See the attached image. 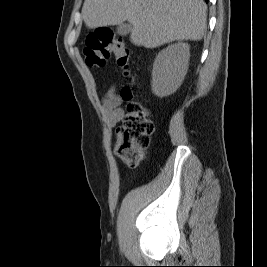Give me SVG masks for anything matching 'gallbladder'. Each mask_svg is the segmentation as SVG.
<instances>
[{"label": "gallbladder", "mask_w": 267, "mask_h": 267, "mask_svg": "<svg viewBox=\"0 0 267 267\" xmlns=\"http://www.w3.org/2000/svg\"><path fill=\"white\" fill-rule=\"evenodd\" d=\"M132 30V26L130 24L122 23L117 27V33L121 36H125L130 33Z\"/></svg>", "instance_id": "gallbladder-1"}]
</instances>
